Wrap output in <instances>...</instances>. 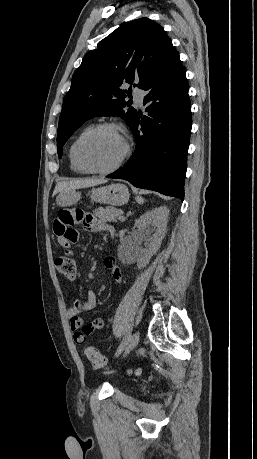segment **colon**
I'll use <instances>...</instances> for the list:
<instances>
[{
  "label": "colon",
  "mask_w": 257,
  "mask_h": 459,
  "mask_svg": "<svg viewBox=\"0 0 257 459\" xmlns=\"http://www.w3.org/2000/svg\"><path fill=\"white\" fill-rule=\"evenodd\" d=\"M55 266L57 271L64 276L73 278L76 274V262L73 256L67 257L66 254L58 256L55 260ZM84 353L94 368L103 369L107 367V359L97 348L86 346ZM136 374H140V371H136Z\"/></svg>",
  "instance_id": "colon-1"
}]
</instances>
